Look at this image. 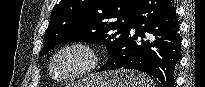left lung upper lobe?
I'll use <instances>...</instances> for the list:
<instances>
[{
    "label": "left lung upper lobe",
    "instance_id": "obj_1",
    "mask_svg": "<svg viewBox=\"0 0 205 87\" xmlns=\"http://www.w3.org/2000/svg\"><path fill=\"white\" fill-rule=\"evenodd\" d=\"M139 0H61L55 5L40 55L62 42L106 45L110 61L122 50Z\"/></svg>",
    "mask_w": 205,
    "mask_h": 87
}]
</instances>
